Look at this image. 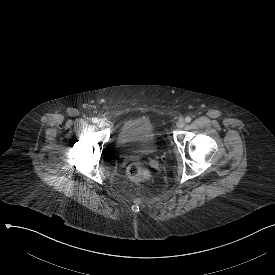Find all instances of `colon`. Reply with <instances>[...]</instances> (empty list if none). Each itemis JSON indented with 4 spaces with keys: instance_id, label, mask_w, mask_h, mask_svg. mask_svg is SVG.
<instances>
[{
    "instance_id": "5ec220e1",
    "label": "colon",
    "mask_w": 275,
    "mask_h": 275,
    "mask_svg": "<svg viewBox=\"0 0 275 275\" xmlns=\"http://www.w3.org/2000/svg\"><path fill=\"white\" fill-rule=\"evenodd\" d=\"M127 177L136 182H149L151 180V172L143 165L130 164L126 170Z\"/></svg>"
}]
</instances>
